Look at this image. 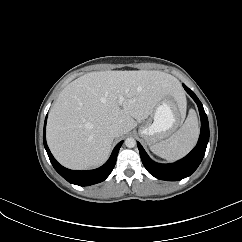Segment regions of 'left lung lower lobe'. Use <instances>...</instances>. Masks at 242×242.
<instances>
[{
	"label": "left lung lower lobe",
	"instance_id": "1",
	"mask_svg": "<svg viewBox=\"0 0 242 242\" xmlns=\"http://www.w3.org/2000/svg\"><path fill=\"white\" fill-rule=\"evenodd\" d=\"M183 87L196 102L201 118V132L195 148L186 157L175 163L159 164L151 160L141 144L137 143L143 165L151 175L161 180L177 181L190 176L201 163L209 141V124L203 105L192 90L185 84Z\"/></svg>",
	"mask_w": 242,
	"mask_h": 242
}]
</instances>
